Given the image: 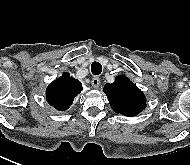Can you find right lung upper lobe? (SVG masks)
Returning <instances> with one entry per match:
<instances>
[{
    "instance_id": "right-lung-upper-lobe-1",
    "label": "right lung upper lobe",
    "mask_w": 190,
    "mask_h": 165,
    "mask_svg": "<svg viewBox=\"0 0 190 165\" xmlns=\"http://www.w3.org/2000/svg\"><path fill=\"white\" fill-rule=\"evenodd\" d=\"M82 91V84L69 73H63L46 90V100L57 110L64 111L72 105L74 98Z\"/></svg>"
}]
</instances>
